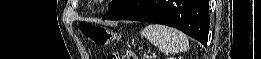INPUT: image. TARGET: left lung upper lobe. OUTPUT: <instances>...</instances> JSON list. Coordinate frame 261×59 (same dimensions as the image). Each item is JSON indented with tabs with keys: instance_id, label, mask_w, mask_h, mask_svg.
<instances>
[{
	"instance_id": "5c2ea615",
	"label": "left lung upper lobe",
	"mask_w": 261,
	"mask_h": 59,
	"mask_svg": "<svg viewBox=\"0 0 261 59\" xmlns=\"http://www.w3.org/2000/svg\"><path fill=\"white\" fill-rule=\"evenodd\" d=\"M124 0H113L110 4V9L115 8L116 6H118L120 3H122Z\"/></svg>"
}]
</instances>
